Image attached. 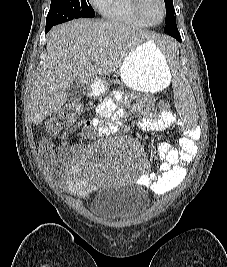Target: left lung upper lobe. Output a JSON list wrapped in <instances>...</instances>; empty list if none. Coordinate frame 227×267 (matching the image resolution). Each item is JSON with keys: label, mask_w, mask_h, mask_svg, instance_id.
<instances>
[{"label": "left lung upper lobe", "mask_w": 227, "mask_h": 267, "mask_svg": "<svg viewBox=\"0 0 227 267\" xmlns=\"http://www.w3.org/2000/svg\"><path fill=\"white\" fill-rule=\"evenodd\" d=\"M166 5V24L172 23L176 20L174 16L173 0H164Z\"/></svg>", "instance_id": "5c2ea615"}]
</instances>
